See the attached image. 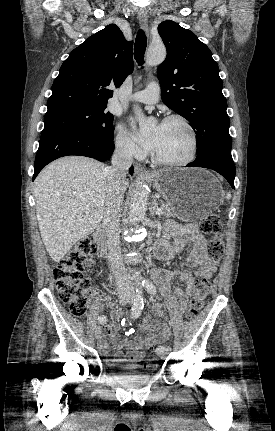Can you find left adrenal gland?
<instances>
[{
  "instance_id": "a2214340",
  "label": "left adrenal gland",
  "mask_w": 275,
  "mask_h": 431,
  "mask_svg": "<svg viewBox=\"0 0 275 431\" xmlns=\"http://www.w3.org/2000/svg\"><path fill=\"white\" fill-rule=\"evenodd\" d=\"M156 196H154L151 207H150V215L153 217L155 216V211L158 208V203L156 201Z\"/></svg>"
}]
</instances>
